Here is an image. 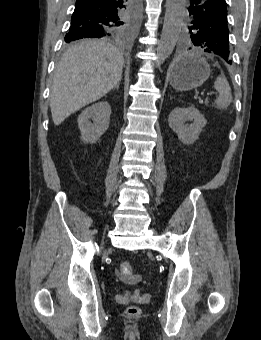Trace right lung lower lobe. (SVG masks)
Listing matches in <instances>:
<instances>
[{"mask_svg":"<svg viewBox=\"0 0 261 340\" xmlns=\"http://www.w3.org/2000/svg\"><path fill=\"white\" fill-rule=\"evenodd\" d=\"M132 0H76L69 32L84 38H99L106 28L119 20Z\"/></svg>","mask_w":261,"mask_h":340,"instance_id":"98d812e1","label":"right lung lower lobe"}]
</instances>
